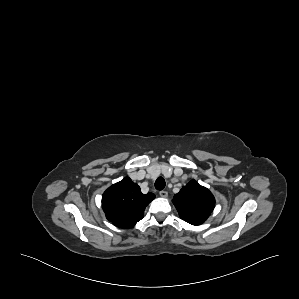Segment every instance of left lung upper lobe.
Instances as JSON below:
<instances>
[{"mask_svg":"<svg viewBox=\"0 0 299 299\" xmlns=\"http://www.w3.org/2000/svg\"><path fill=\"white\" fill-rule=\"evenodd\" d=\"M172 201L179 216L192 225L204 223L215 206L211 192L195 180L184 186Z\"/></svg>","mask_w":299,"mask_h":299,"instance_id":"1","label":"left lung upper lobe"}]
</instances>
